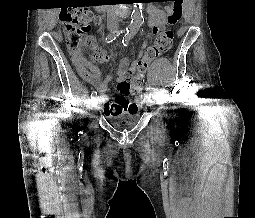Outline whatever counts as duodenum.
Returning <instances> with one entry per match:
<instances>
[{"label":"duodenum","mask_w":255,"mask_h":218,"mask_svg":"<svg viewBox=\"0 0 255 218\" xmlns=\"http://www.w3.org/2000/svg\"><path fill=\"white\" fill-rule=\"evenodd\" d=\"M96 10H97L98 12H102L103 9L100 8V7H97Z\"/></svg>","instance_id":"410a0bca"}]
</instances>
